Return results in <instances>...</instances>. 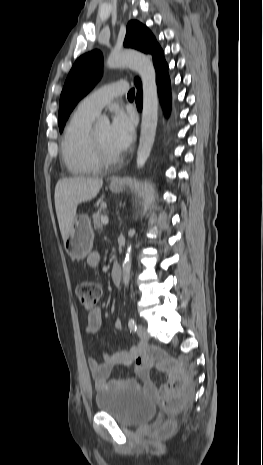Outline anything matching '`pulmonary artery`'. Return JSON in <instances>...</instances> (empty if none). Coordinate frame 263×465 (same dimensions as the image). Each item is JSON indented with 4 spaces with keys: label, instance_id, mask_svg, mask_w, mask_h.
I'll return each instance as SVG.
<instances>
[{
    "label": "pulmonary artery",
    "instance_id": "pulmonary-artery-1",
    "mask_svg": "<svg viewBox=\"0 0 263 465\" xmlns=\"http://www.w3.org/2000/svg\"><path fill=\"white\" fill-rule=\"evenodd\" d=\"M127 90L128 85L124 81L104 85L87 95L79 103L77 109L84 114L95 117L114 97L124 94Z\"/></svg>",
    "mask_w": 263,
    "mask_h": 465
}]
</instances>
